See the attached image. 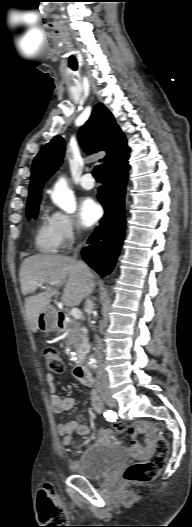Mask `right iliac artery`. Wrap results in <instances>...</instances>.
Masks as SVG:
<instances>
[{
    "label": "right iliac artery",
    "mask_w": 192,
    "mask_h": 527,
    "mask_svg": "<svg viewBox=\"0 0 192 527\" xmlns=\"http://www.w3.org/2000/svg\"><path fill=\"white\" fill-rule=\"evenodd\" d=\"M104 416L106 417L107 421H111V424H116V419H119V416H116V419H115L112 411L105 412Z\"/></svg>",
    "instance_id": "obj_1"
}]
</instances>
